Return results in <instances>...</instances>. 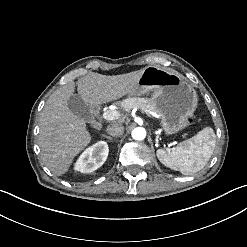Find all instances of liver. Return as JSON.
Returning a JSON list of instances; mask_svg holds the SVG:
<instances>
[{
	"instance_id": "obj_1",
	"label": "liver",
	"mask_w": 247,
	"mask_h": 247,
	"mask_svg": "<svg viewBox=\"0 0 247 247\" xmlns=\"http://www.w3.org/2000/svg\"><path fill=\"white\" fill-rule=\"evenodd\" d=\"M142 73L143 70H138L107 76L89 72L78 79L77 91L86 103L97 106L129 94ZM74 90L72 80L55 90L40 115L38 140L42 161L57 176L68 171L74 157L91 141L85 120L68 108V100Z\"/></svg>"
}]
</instances>
